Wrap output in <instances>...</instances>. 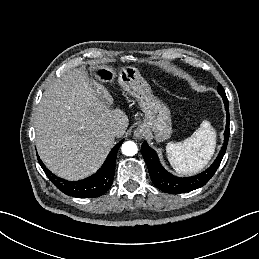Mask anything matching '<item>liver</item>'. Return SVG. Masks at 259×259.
<instances>
[{"instance_id":"liver-1","label":"liver","mask_w":259,"mask_h":259,"mask_svg":"<svg viewBox=\"0 0 259 259\" xmlns=\"http://www.w3.org/2000/svg\"><path fill=\"white\" fill-rule=\"evenodd\" d=\"M105 101L113 103L108 90L81 69L69 71L43 93L34 116L36 147L54 174L68 180L91 175L104 162L115 137L123 136L127 115L110 109ZM114 125L121 128L118 135L111 132Z\"/></svg>"}]
</instances>
